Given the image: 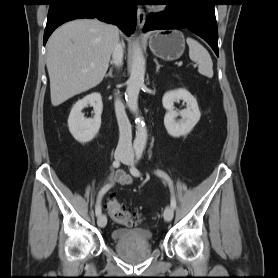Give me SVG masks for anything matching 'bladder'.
I'll return each mask as SVG.
<instances>
[{
  "instance_id": "bladder-1",
  "label": "bladder",
  "mask_w": 278,
  "mask_h": 278,
  "mask_svg": "<svg viewBox=\"0 0 278 278\" xmlns=\"http://www.w3.org/2000/svg\"><path fill=\"white\" fill-rule=\"evenodd\" d=\"M115 243L127 245H143L151 243L153 234L144 228H117L111 233Z\"/></svg>"
}]
</instances>
